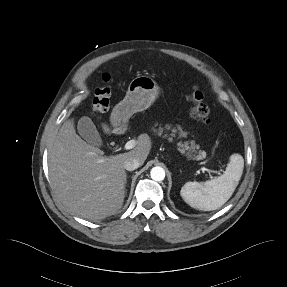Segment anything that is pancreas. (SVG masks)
Returning <instances> with one entry per match:
<instances>
[{
    "mask_svg": "<svg viewBox=\"0 0 287 287\" xmlns=\"http://www.w3.org/2000/svg\"><path fill=\"white\" fill-rule=\"evenodd\" d=\"M179 130H181L180 127H179ZM175 131H176V130H173V132H175ZM161 132H162V129H160V133H159V134H161ZM170 140H171V139H170ZM178 145H179V147H181V148L179 149L181 153H185V150L190 149L187 143H184V144L179 143ZM195 147L198 148V146H195L194 144H192V147H191V148L194 149ZM205 156H206V153H205L204 151H200V152H199V155H197L196 157H193V158H194V159H203V158H205Z\"/></svg>",
    "mask_w": 287,
    "mask_h": 287,
    "instance_id": "obj_1",
    "label": "pancreas"
}]
</instances>
